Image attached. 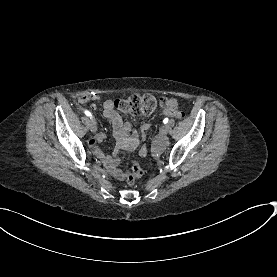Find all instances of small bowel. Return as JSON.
<instances>
[{
  "label": "small bowel",
  "mask_w": 277,
  "mask_h": 277,
  "mask_svg": "<svg viewBox=\"0 0 277 277\" xmlns=\"http://www.w3.org/2000/svg\"><path fill=\"white\" fill-rule=\"evenodd\" d=\"M92 100L104 102L103 103V116L108 119L111 123L114 134L118 139V147L117 152L120 150H133L139 144L140 141H144L146 138V132L150 129V125L148 123L142 124L140 128V133L133 132L131 134V124L129 122H124L119 115V113L115 109L114 102L112 100H106L104 95H99L92 93L90 95ZM80 100V98H79ZM106 100V101H105ZM81 101V100H80ZM89 101V100H88ZM87 102V101H85ZM93 110L98 108L96 103L91 105ZM177 109V101L174 98L168 99L167 108L164 111V114L167 116H173ZM107 135L104 132L98 133L96 135L97 140L104 141L106 140ZM90 147L94 150L95 154L104 159L106 166L110 168L117 179L122 180L125 178V174L117 169V162L122 163L124 158L119 154H115L113 158L105 157L103 153L98 149L97 143L95 140L90 141ZM141 155L145 156L147 153V149L145 146L141 147Z\"/></svg>",
  "instance_id": "small-bowel-1"
}]
</instances>
